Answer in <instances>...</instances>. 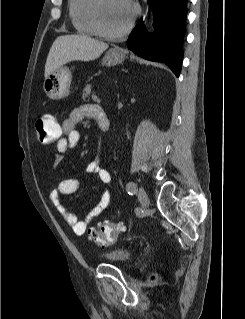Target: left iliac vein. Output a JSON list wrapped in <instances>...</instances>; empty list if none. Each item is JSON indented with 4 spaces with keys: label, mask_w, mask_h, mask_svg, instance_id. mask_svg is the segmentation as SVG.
<instances>
[{
    "label": "left iliac vein",
    "mask_w": 245,
    "mask_h": 319,
    "mask_svg": "<svg viewBox=\"0 0 245 319\" xmlns=\"http://www.w3.org/2000/svg\"><path fill=\"white\" fill-rule=\"evenodd\" d=\"M137 197H138V200L141 203L142 207L147 208L149 205V199H148V196H147L145 190L142 187H140L138 189Z\"/></svg>",
    "instance_id": "1"
}]
</instances>
